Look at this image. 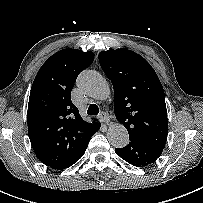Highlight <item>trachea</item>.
I'll return each instance as SVG.
<instances>
[{
    "mask_svg": "<svg viewBox=\"0 0 203 203\" xmlns=\"http://www.w3.org/2000/svg\"><path fill=\"white\" fill-rule=\"evenodd\" d=\"M88 115H97L99 113V108L96 104H91L87 110Z\"/></svg>",
    "mask_w": 203,
    "mask_h": 203,
    "instance_id": "trachea-1",
    "label": "trachea"
}]
</instances>
